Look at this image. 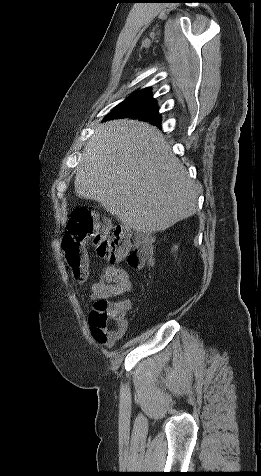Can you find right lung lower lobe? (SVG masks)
<instances>
[{
	"mask_svg": "<svg viewBox=\"0 0 261 476\" xmlns=\"http://www.w3.org/2000/svg\"><path fill=\"white\" fill-rule=\"evenodd\" d=\"M110 118H117V117H108V119H110ZM155 125H158V124H155Z\"/></svg>",
	"mask_w": 261,
	"mask_h": 476,
	"instance_id": "98d812e1",
	"label": "right lung lower lobe"
}]
</instances>
